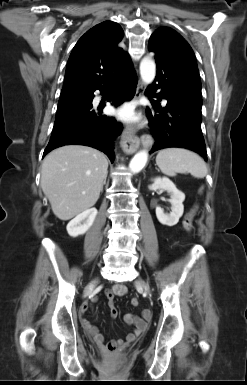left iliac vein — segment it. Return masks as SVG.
<instances>
[{
  "mask_svg": "<svg viewBox=\"0 0 247 385\" xmlns=\"http://www.w3.org/2000/svg\"><path fill=\"white\" fill-rule=\"evenodd\" d=\"M136 285L140 288H143L147 293H150L149 285L142 279L136 281Z\"/></svg>",
  "mask_w": 247,
  "mask_h": 385,
  "instance_id": "1",
  "label": "left iliac vein"
}]
</instances>
